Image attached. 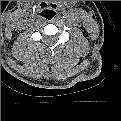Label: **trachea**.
Returning <instances> with one entry per match:
<instances>
[{"label": "trachea", "mask_w": 121, "mask_h": 121, "mask_svg": "<svg viewBox=\"0 0 121 121\" xmlns=\"http://www.w3.org/2000/svg\"><path fill=\"white\" fill-rule=\"evenodd\" d=\"M56 15V12L53 10H45L43 13V17L47 20H52Z\"/></svg>", "instance_id": "3493384b"}]
</instances>
